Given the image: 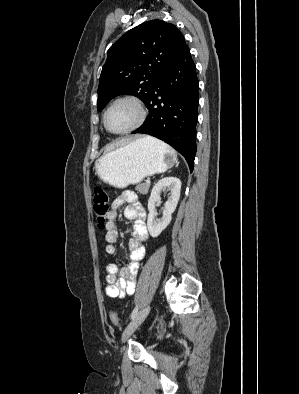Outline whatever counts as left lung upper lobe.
<instances>
[{"mask_svg": "<svg viewBox=\"0 0 299 394\" xmlns=\"http://www.w3.org/2000/svg\"><path fill=\"white\" fill-rule=\"evenodd\" d=\"M186 46L178 28L162 20L128 31L107 52L98 87V111L122 94L134 95L146 104L160 75Z\"/></svg>", "mask_w": 299, "mask_h": 394, "instance_id": "1", "label": "left lung upper lobe"}]
</instances>
